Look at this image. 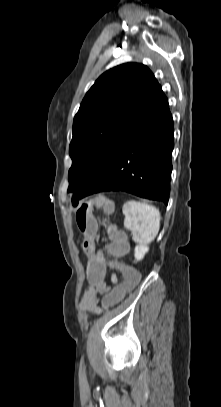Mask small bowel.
<instances>
[{
	"label": "small bowel",
	"instance_id": "c3829d8e",
	"mask_svg": "<svg viewBox=\"0 0 221 407\" xmlns=\"http://www.w3.org/2000/svg\"><path fill=\"white\" fill-rule=\"evenodd\" d=\"M111 281L114 286L117 284V276L115 273L111 274ZM108 289L111 288H109L106 284L104 286H89L82 295L80 303L81 309L92 315L98 314L100 311V309L97 307L98 303L100 302L99 296L105 295V292H107Z\"/></svg>",
	"mask_w": 221,
	"mask_h": 407
}]
</instances>
